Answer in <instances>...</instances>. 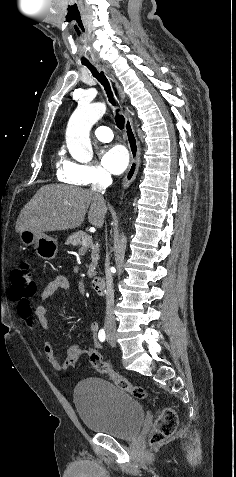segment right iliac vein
<instances>
[{
	"label": "right iliac vein",
	"mask_w": 236,
	"mask_h": 477,
	"mask_svg": "<svg viewBox=\"0 0 236 477\" xmlns=\"http://www.w3.org/2000/svg\"><path fill=\"white\" fill-rule=\"evenodd\" d=\"M108 340L111 341V342H115V340H116L115 333L110 332V333L108 334Z\"/></svg>",
	"instance_id": "right-iliac-vein-1"
}]
</instances>
